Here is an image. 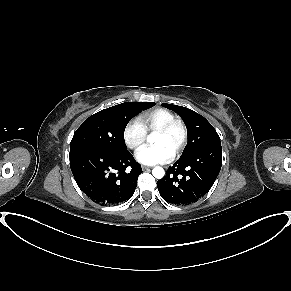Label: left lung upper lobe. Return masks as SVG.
I'll return each instance as SVG.
<instances>
[{
	"label": "left lung upper lobe",
	"mask_w": 291,
	"mask_h": 291,
	"mask_svg": "<svg viewBox=\"0 0 291 291\" xmlns=\"http://www.w3.org/2000/svg\"><path fill=\"white\" fill-rule=\"evenodd\" d=\"M162 106L175 111L187 126L188 143L181 157L209 146L221 145L216 130L202 115L178 105L162 104Z\"/></svg>",
	"instance_id": "1"
}]
</instances>
